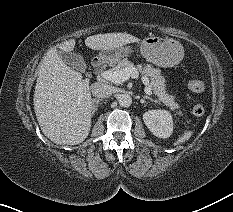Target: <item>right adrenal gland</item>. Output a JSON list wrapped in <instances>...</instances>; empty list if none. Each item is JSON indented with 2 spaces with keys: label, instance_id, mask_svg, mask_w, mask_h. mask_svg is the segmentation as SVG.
I'll use <instances>...</instances> for the list:
<instances>
[{
  "label": "right adrenal gland",
  "instance_id": "obj_1",
  "mask_svg": "<svg viewBox=\"0 0 233 212\" xmlns=\"http://www.w3.org/2000/svg\"><path fill=\"white\" fill-rule=\"evenodd\" d=\"M101 101H103V99H92V115L97 111L98 105Z\"/></svg>",
  "mask_w": 233,
  "mask_h": 212
}]
</instances>
